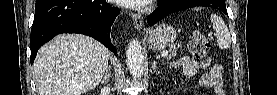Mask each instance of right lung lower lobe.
I'll return each instance as SVG.
<instances>
[{"instance_id":"1","label":"right lung lower lobe","mask_w":277,"mask_h":95,"mask_svg":"<svg viewBox=\"0 0 277 95\" xmlns=\"http://www.w3.org/2000/svg\"><path fill=\"white\" fill-rule=\"evenodd\" d=\"M119 13L106 0H36L30 40L31 64L38 49L60 33L91 36L116 54L110 31Z\"/></svg>"}]
</instances>
